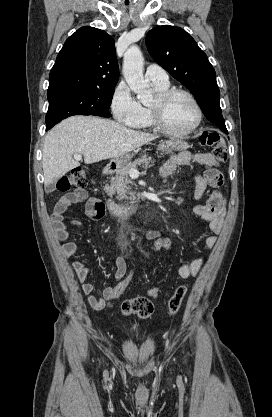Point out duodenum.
Returning a JSON list of instances; mask_svg holds the SVG:
<instances>
[{"instance_id":"duodenum-1","label":"duodenum","mask_w":272,"mask_h":417,"mask_svg":"<svg viewBox=\"0 0 272 417\" xmlns=\"http://www.w3.org/2000/svg\"><path fill=\"white\" fill-rule=\"evenodd\" d=\"M113 169H114L113 165H107L104 167L103 171L104 173H109L113 171ZM106 206H107L108 211L112 215L117 216V217H126V216H130V215L137 213L139 210L143 208L144 205L142 203H136L132 205H119L115 203L113 200L108 199Z\"/></svg>"}]
</instances>
